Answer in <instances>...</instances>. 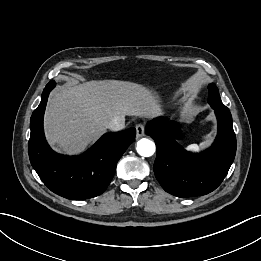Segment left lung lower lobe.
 Segmentation results:
<instances>
[{
	"mask_svg": "<svg viewBox=\"0 0 261 261\" xmlns=\"http://www.w3.org/2000/svg\"><path fill=\"white\" fill-rule=\"evenodd\" d=\"M214 110L218 134L213 145L200 154L187 152L177 143L176 124L155 119L146 125V134L157 146L154 173L166 192L178 197L206 195L227 175L236 154V136L231 113Z\"/></svg>",
	"mask_w": 261,
	"mask_h": 261,
	"instance_id": "1",
	"label": "left lung lower lobe"
}]
</instances>
